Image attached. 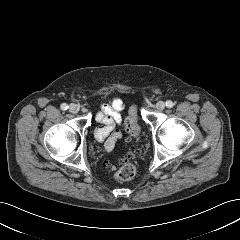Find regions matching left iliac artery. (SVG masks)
<instances>
[{
  "instance_id": "44dca946",
  "label": "left iliac artery",
  "mask_w": 240,
  "mask_h": 240,
  "mask_svg": "<svg viewBox=\"0 0 240 240\" xmlns=\"http://www.w3.org/2000/svg\"><path fill=\"white\" fill-rule=\"evenodd\" d=\"M173 105H174V104H173L172 101H170V100L166 101V106H167L168 108H172Z\"/></svg>"
}]
</instances>
